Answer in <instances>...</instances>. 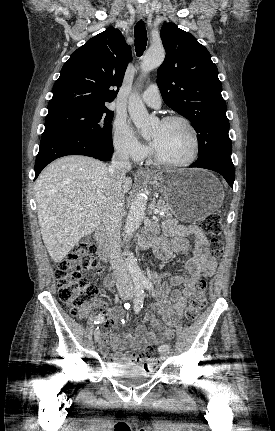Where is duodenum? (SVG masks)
I'll return each mask as SVG.
<instances>
[{"instance_id":"410a0bca","label":"duodenum","mask_w":275,"mask_h":431,"mask_svg":"<svg viewBox=\"0 0 275 431\" xmlns=\"http://www.w3.org/2000/svg\"><path fill=\"white\" fill-rule=\"evenodd\" d=\"M95 239L98 245V255L99 258L103 261V262H108L110 261L111 258V252H110V247H109V243L107 240V236H106V232L103 226H99L96 230H95ZM150 246V242L146 241L143 242L142 247L144 249L148 248Z\"/></svg>"}]
</instances>
